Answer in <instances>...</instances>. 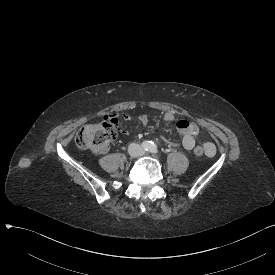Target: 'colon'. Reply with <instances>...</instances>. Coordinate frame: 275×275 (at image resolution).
Returning <instances> with one entry per match:
<instances>
[{
	"mask_svg": "<svg viewBox=\"0 0 275 275\" xmlns=\"http://www.w3.org/2000/svg\"><path fill=\"white\" fill-rule=\"evenodd\" d=\"M118 134V124L116 121H102L98 123L85 124L76 134L75 142L81 149H87L96 153L108 151L111 143ZM197 155H203V146L195 148Z\"/></svg>",
	"mask_w": 275,
	"mask_h": 275,
	"instance_id": "5ec220e1",
	"label": "colon"
}]
</instances>
